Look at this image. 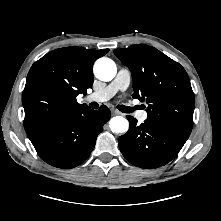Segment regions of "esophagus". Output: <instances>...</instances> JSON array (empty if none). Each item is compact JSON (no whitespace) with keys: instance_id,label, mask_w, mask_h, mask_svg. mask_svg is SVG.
I'll return each mask as SVG.
<instances>
[{"instance_id":"34e87169","label":"esophagus","mask_w":221,"mask_h":221,"mask_svg":"<svg viewBox=\"0 0 221 221\" xmlns=\"http://www.w3.org/2000/svg\"><path fill=\"white\" fill-rule=\"evenodd\" d=\"M112 113H113L114 115H121V114H122L121 112H119V111L116 110V109H112Z\"/></svg>"}]
</instances>
